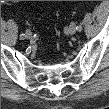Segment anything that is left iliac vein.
Returning a JSON list of instances; mask_svg holds the SVG:
<instances>
[{"mask_svg":"<svg viewBox=\"0 0 109 109\" xmlns=\"http://www.w3.org/2000/svg\"><path fill=\"white\" fill-rule=\"evenodd\" d=\"M76 31H77V26L74 22H72L69 26V33L71 35H74L76 33Z\"/></svg>","mask_w":109,"mask_h":109,"instance_id":"obj_1","label":"left iliac vein"}]
</instances>
